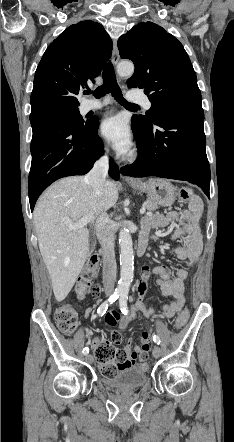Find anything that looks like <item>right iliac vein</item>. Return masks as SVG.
<instances>
[{
	"label": "right iliac vein",
	"instance_id": "obj_1",
	"mask_svg": "<svg viewBox=\"0 0 234 442\" xmlns=\"http://www.w3.org/2000/svg\"><path fill=\"white\" fill-rule=\"evenodd\" d=\"M86 361L89 362V363H92V362H93V357H92L91 354H87V355H86Z\"/></svg>",
	"mask_w": 234,
	"mask_h": 442
}]
</instances>
